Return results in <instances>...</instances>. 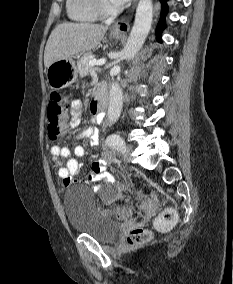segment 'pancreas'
Here are the masks:
<instances>
[{"label": "pancreas", "instance_id": "obj_1", "mask_svg": "<svg viewBox=\"0 0 233 284\" xmlns=\"http://www.w3.org/2000/svg\"><path fill=\"white\" fill-rule=\"evenodd\" d=\"M95 59V56L91 53L83 55L77 62L78 72L80 76H86L93 70V67L89 65V61Z\"/></svg>", "mask_w": 233, "mask_h": 284}]
</instances>
